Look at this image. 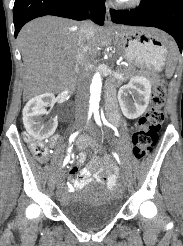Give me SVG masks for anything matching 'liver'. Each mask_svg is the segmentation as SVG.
<instances>
[{"instance_id": "1", "label": "liver", "mask_w": 183, "mask_h": 246, "mask_svg": "<svg viewBox=\"0 0 183 246\" xmlns=\"http://www.w3.org/2000/svg\"><path fill=\"white\" fill-rule=\"evenodd\" d=\"M80 28L81 24L75 21L45 16L34 19L21 29L18 41L24 63V100L43 93L60 92L74 83ZM151 30L167 42L165 33ZM102 40V28L94 26L93 37L85 43L89 62L95 58Z\"/></svg>"}]
</instances>
